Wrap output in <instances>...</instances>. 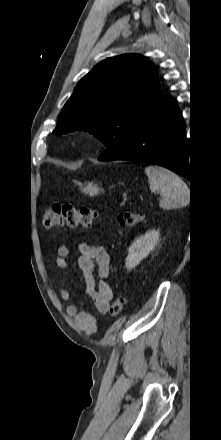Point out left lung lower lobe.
<instances>
[{"label":"left lung lower lobe","instance_id":"obj_1","mask_svg":"<svg viewBox=\"0 0 221 440\" xmlns=\"http://www.w3.org/2000/svg\"><path fill=\"white\" fill-rule=\"evenodd\" d=\"M185 129L177 103L162 94L138 120L125 153L116 160L161 165L191 181V169L184 153L189 145ZM98 160L102 161L100 157Z\"/></svg>","mask_w":221,"mask_h":440}]
</instances>
